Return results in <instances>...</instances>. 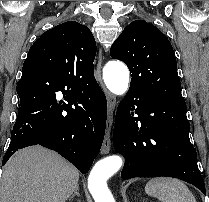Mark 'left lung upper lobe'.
<instances>
[{
    "mask_svg": "<svg viewBox=\"0 0 209 202\" xmlns=\"http://www.w3.org/2000/svg\"><path fill=\"white\" fill-rule=\"evenodd\" d=\"M110 55L129 68L130 91L156 100L185 104L172 45L151 23L144 20L130 23L112 44Z\"/></svg>",
    "mask_w": 209,
    "mask_h": 202,
    "instance_id": "obj_1",
    "label": "left lung upper lobe"
}]
</instances>
